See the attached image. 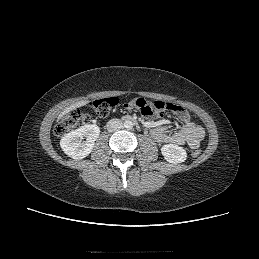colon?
I'll return each mask as SVG.
<instances>
[{
  "mask_svg": "<svg viewBox=\"0 0 259 259\" xmlns=\"http://www.w3.org/2000/svg\"><path fill=\"white\" fill-rule=\"evenodd\" d=\"M117 104L118 98L108 97L91 102L90 107L97 116L106 117L114 110ZM125 108L128 110L136 108L146 117H157L162 116L167 110L175 109V105L162 101L150 102L144 98H136L125 104ZM91 122V116L84 114L79 110H73L62 117L56 126L55 132L58 136H63L76 128L90 124ZM200 153L201 151L196 148L192 150L191 155L196 158Z\"/></svg>",
  "mask_w": 259,
  "mask_h": 259,
  "instance_id": "obj_1",
  "label": "colon"
}]
</instances>
